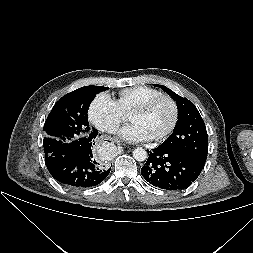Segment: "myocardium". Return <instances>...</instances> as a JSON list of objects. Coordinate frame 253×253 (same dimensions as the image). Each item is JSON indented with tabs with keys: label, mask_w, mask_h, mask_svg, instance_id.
<instances>
[{
	"label": "myocardium",
	"mask_w": 253,
	"mask_h": 253,
	"mask_svg": "<svg viewBox=\"0 0 253 253\" xmlns=\"http://www.w3.org/2000/svg\"><path fill=\"white\" fill-rule=\"evenodd\" d=\"M161 100H167L173 109V118L172 121L169 125V127L159 136L152 138L153 141L155 142H162L165 139H167L175 130L178 121H179V108L177 102L169 95L166 94H160L158 96H155L141 105H139L137 108H135L131 113H130V118L134 115H139V114H144L148 112L156 103H158Z\"/></svg>",
	"instance_id": "f54148a6"
}]
</instances>
